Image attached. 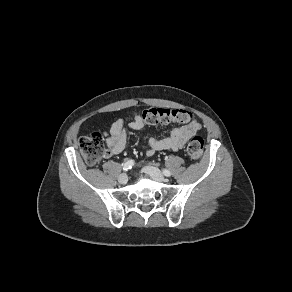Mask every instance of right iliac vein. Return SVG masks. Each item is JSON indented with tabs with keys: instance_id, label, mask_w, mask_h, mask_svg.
Wrapping results in <instances>:
<instances>
[{
	"instance_id": "63e3f726",
	"label": "right iliac vein",
	"mask_w": 292,
	"mask_h": 292,
	"mask_svg": "<svg viewBox=\"0 0 292 292\" xmlns=\"http://www.w3.org/2000/svg\"><path fill=\"white\" fill-rule=\"evenodd\" d=\"M127 181H128V176H127L126 173L121 174V175L119 176V178H118V182H119L120 184H126Z\"/></svg>"
}]
</instances>
